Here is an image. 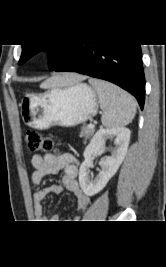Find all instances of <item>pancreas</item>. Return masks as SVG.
<instances>
[{"label":"pancreas","instance_id":"pancreas-1","mask_svg":"<svg viewBox=\"0 0 166 267\" xmlns=\"http://www.w3.org/2000/svg\"><path fill=\"white\" fill-rule=\"evenodd\" d=\"M95 130L93 128H88V126H83L81 128L80 137L84 138V142H86L93 134Z\"/></svg>","mask_w":166,"mask_h":267}]
</instances>
